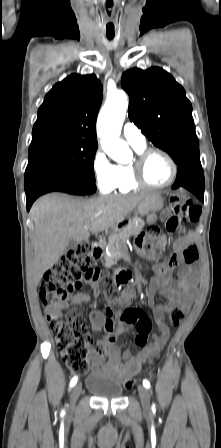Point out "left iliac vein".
<instances>
[{
  "mask_svg": "<svg viewBox=\"0 0 221 448\" xmlns=\"http://www.w3.org/2000/svg\"><path fill=\"white\" fill-rule=\"evenodd\" d=\"M138 393H139V397L141 400V404L143 407V410L145 412L150 411L151 408V402H150V394L149 391L146 387H144L143 385H139L138 386Z\"/></svg>",
  "mask_w": 221,
  "mask_h": 448,
  "instance_id": "1",
  "label": "left iliac vein"
}]
</instances>
